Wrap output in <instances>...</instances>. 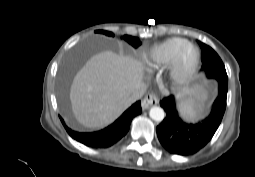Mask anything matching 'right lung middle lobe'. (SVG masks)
Wrapping results in <instances>:
<instances>
[{
    "label": "right lung middle lobe",
    "mask_w": 255,
    "mask_h": 177,
    "mask_svg": "<svg viewBox=\"0 0 255 177\" xmlns=\"http://www.w3.org/2000/svg\"><path fill=\"white\" fill-rule=\"evenodd\" d=\"M99 33L107 35V36H112V37L114 36V34L112 32H109V31L100 30ZM123 39L135 48L138 47L141 44V42L138 38L132 37V36H129V35H124ZM61 101H62V104L65 105V101H66L65 87H62V89H61Z\"/></svg>",
    "instance_id": "1"
}]
</instances>
